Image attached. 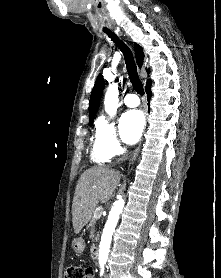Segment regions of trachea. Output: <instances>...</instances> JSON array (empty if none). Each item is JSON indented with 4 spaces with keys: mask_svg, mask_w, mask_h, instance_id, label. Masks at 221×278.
<instances>
[{
    "mask_svg": "<svg viewBox=\"0 0 221 278\" xmlns=\"http://www.w3.org/2000/svg\"><path fill=\"white\" fill-rule=\"evenodd\" d=\"M104 32L108 35V37L111 38V40L119 47V49L122 51L124 58H125V64L127 68V72L129 75V79L136 90V92L140 95H144V89L143 84L138 76L137 72V66L135 64V60L133 57V54L128 46L124 44L121 40L118 39V37L110 30H104Z\"/></svg>",
    "mask_w": 221,
    "mask_h": 278,
    "instance_id": "3493384b",
    "label": "trachea"
}]
</instances>
